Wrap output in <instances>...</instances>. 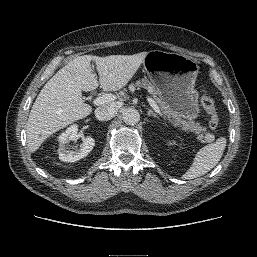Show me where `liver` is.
Segmentation results:
<instances>
[{
    "instance_id": "liver-1",
    "label": "liver",
    "mask_w": 257,
    "mask_h": 257,
    "mask_svg": "<svg viewBox=\"0 0 257 257\" xmlns=\"http://www.w3.org/2000/svg\"><path fill=\"white\" fill-rule=\"evenodd\" d=\"M146 55L147 52L106 57L83 55L60 69L44 85L30 111L27 122L30 151L33 153L39 149L53 133L91 114L92 108L84 103L82 91L95 90L99 84L104 91L123 88L135 75ZM91 61L95 62L99 81L93 74Z\"/></svg>"
}]
</instances>
